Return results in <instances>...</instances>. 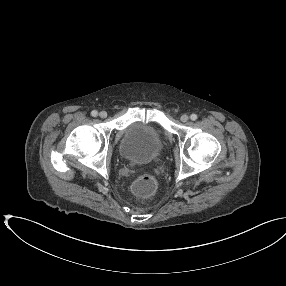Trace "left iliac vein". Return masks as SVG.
<instances>
[{
	"instance_id": "left-iliac-vein-1",
	"label": "left iliac vein",
	"mask_w": 286,
	"mask_h": 286,
	"mask_svg": "<svg viewBox=\"0 0 286 286\" xmlns=\"http://www.w3.org/2000/svg\"><path fill=\"white\" fill-rule=\"evenodd\" d=\"M188 120H189V116H188V115L184 114V115L181 116V121H182V122L185 123V122H187Z\"/></svg>"
}]
</instances>
